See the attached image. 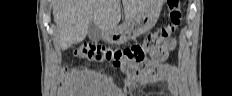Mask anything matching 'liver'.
<instances>
[{
	"label": "liver",
	"mask_w": 232,
	"mask_h": 96,
	"mask_svg": "<svg viewBox=\"0 0 232 96\" xmlns=\"http://www.w3.org/2000/svg\"><path fill=\"white\" fill-rule=\"evenodd\" d=\"M121 0H55L54 22L57 25L59 45L66 50L82 42L92 20L101 31L118 27L121 20ZM126 21H132L149 3V0H122Z\"/></svg>",
	"instance_id": "obj_1"
}]
</instances>
